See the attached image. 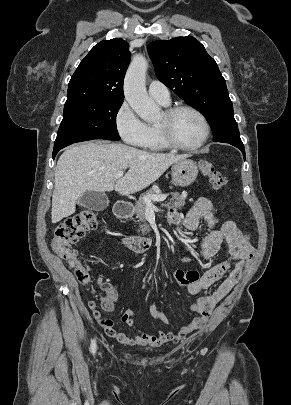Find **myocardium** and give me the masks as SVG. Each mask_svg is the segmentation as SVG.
<instances>
[{
  "label": "myocardium",
  "mask_w": 291,
  "mask_h": 405,
  "mask_svg": "<svg viewBox=\"0 0 291 405\" xmlns=\"http://www.w3.org/2000/svg\"><path fill=\"white\" fill-rule=\"evenodd\" d=\"M183 110H188L195 113L202 121L204 127V135L201 141L195 145H183L179 143L173 136L172 132L173 119L179 112ZM163 116H164L163 122L158 123L157 125L163 142L169 148L181 151H195L203 147L208 142L211 134L210 124L205 114L198 108L188 104H178L166 108L163 113Z\"/></svg>",
  "instance_id": "obj_1"
}]
</instances>
